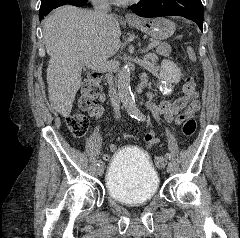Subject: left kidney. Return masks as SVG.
<instances>
[{"mask_svg":"<svg viewBox=\"0 0 240 238\" xmlns=\"http://www.w3.org/2000/svg\"><path fill=\"white\" fill-rule=\"evenodd\" d=\"M180 78V69L173 61L165 59L161 62L159 87L164 94L170 93L173 89V84L179 83Z\"/></svg>","mask_w":240,"mask_h":238,"instance_id":"obj_1","label":"left kidney"}]
</instances>
